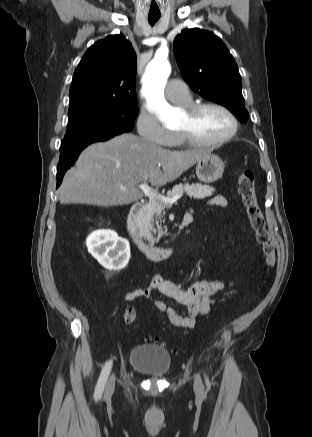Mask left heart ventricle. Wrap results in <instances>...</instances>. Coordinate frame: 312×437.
I'll return each mask as SVG.
<instances>
[{"label":"left heart ventricle","mask_w":312,"mask_h":437,"mask_svg":"<svg viewBox=\"0 0 312 437\" xmlns=\"http://www.w3.org/2000/svg\"><path fill=\"white\" fill-rule=\"evenodd\" d=\"M178 129H188L201 140H214L225 136L231 129V121L222 111L206 108L190 118L186 113L180 118Z\"/></svg>","instance_id":"left-heart-ventricle-1"}]
</instances>
